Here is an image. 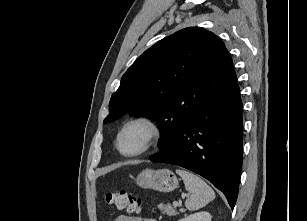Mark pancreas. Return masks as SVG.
Returning <instances> with one entry per match:
<instances>
[{"instance_id":"cf45deb5","label":"pancreas","mask_w":307,"mask_h":221,"mask_svg":"<svg viewBox=\"0 0 307 221\" xmlns=\"http://www.w3.org/2000/svg\"><path fill=\"white\" fill-rule=\"evenodd\" d=\"M158 208L162 213L167 214L168 216H175L179 214V212L175 210L173 207H171L169 204L167 205L159 204Z\"/></svg>"}]
</instances>
